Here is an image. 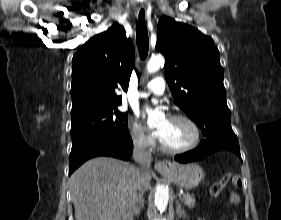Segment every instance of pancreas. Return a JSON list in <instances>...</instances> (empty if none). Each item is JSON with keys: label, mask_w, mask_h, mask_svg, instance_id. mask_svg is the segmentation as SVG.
I'll return each instance as SVG.
<instances>
[{"label": "pancreas", "mask_w": 281, "mask_h": 220, "mask_svg": "<svg viewBox=\"0 0 281 220\" xmlns=\"http://www.w3.org/2000/svg\"><path fill=\"white\" fill-rule=\"evenodd\" d=\"M183 201L188 207H194L196 205V200L192 194H184Z\"/></svg>", "instance_id": "pancreas-1"}]
</instances>
